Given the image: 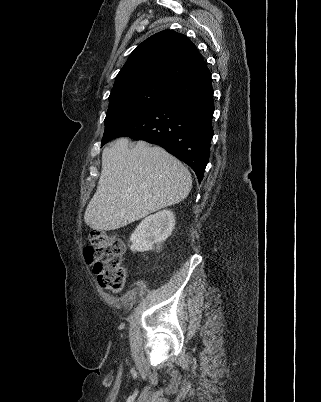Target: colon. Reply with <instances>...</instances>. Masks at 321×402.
I'll return each instance as SVG.
<instances>
[{"instance_id": "1", "label": "colon", "mask_w": 321, "mask_h": 402, "mask_svg": "<svg viewBox=\"0 0 321 402\" xmlns=\"http://www.w3.org/2000/svg\"><path fill=\"white\" fill-rule=\"evenodd\" d=\"M123 242L116 236L102 231L90 232V244L84 249L87 263L93 265L100 286L110 291H120L127 277L122 262Z\"/></svg>"}]
</instances>
